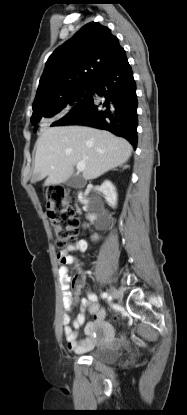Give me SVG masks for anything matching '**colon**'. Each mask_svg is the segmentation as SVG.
I'll list each match as a JSON object with an SVG mask.
<instances>
[{"label": "colon", "instance_id": "obj_1", "mask_svg": "<svg viewBox=\"0 0 187 415\" xmlns=\"http://www.w3.org/2000/svg\"><path fill=\"white\" fill-rule=\"evenodd\" d=\"M48 200V216L54 228L57 245L64 247L77 236L81 225L80 218L71 204V195L64 186H50Z\"/></svg>", "mask_w": 187, "mask_h": 415}]
</instances>
